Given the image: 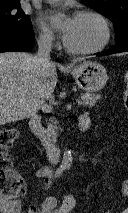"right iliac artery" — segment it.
Here are the masks:
<instances>
[{"label": "right iliac artery", "instance_id": "82829eb1", "mask_svg": "<svg viewBox=\"0 0 128 213\" xmlns=\"http://www.w3.org/2000/svg\"><path fill=\"white\" fill-rule=\"evenodd\" d=\"M64 169H65L64 166H60V167L57 169V171H56V177H57V176H60V175L62 174V172H63Z\"/></svg>", "mask_w": 128, "mask_h": 213}]
</instances>
